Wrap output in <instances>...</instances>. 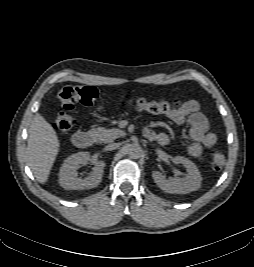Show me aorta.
I'll list each match as a JSON object with an SVG mask.
<instances>
[{
    "mask_svg": "<svg viewBox=\"0 0 254 267\" xmlns=\"http://www.w3.org/2000/svg\"><path fill=\"white\" fill-rule=\"evenodd\" d=\"M127 153L132 159H139L142 156V148L139 144L133 143L127 146Z\"/></svg>",
    "mask_w": 254,
    "mask_h": 267,
    "instance_id": "aorta-1",
    "label": "aorta"
}]
</instances>
